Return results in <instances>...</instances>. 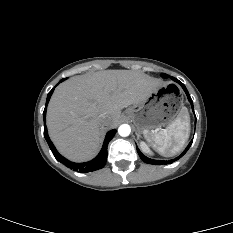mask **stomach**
Here are the masks:
<instances>
[{
    "label": "stomach",
    "mask_w": 233,
    "mask_h": 233,
    "mask_svg": "<svg viewBox=\"0 0 233 233\" xmlns=\"http://www.w3.org/2000/svg\"><path fill=\"white\" fill-rule=\"evenodd\" d=\"M184 103L182 89L175 83L158 84L144 101L126 111L138 131L150 133L171 123L181 112Z\"/></svg>",
    "instance_id": "1"
}]
</instances>
